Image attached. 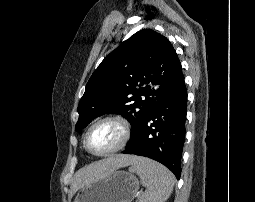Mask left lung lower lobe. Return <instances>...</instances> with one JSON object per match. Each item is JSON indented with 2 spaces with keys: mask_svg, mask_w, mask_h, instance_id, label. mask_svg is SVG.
<instances>
[{
  "mask_svg": "<svg viewBox=\"0 0 255 202\" xmlns=\"http://www.w3.org/2000/svg\"><path fill=\"white\" fill-rule=\"evenodd\" d=\"M187 90L183 82L162 96L146 116L140 130L122 153L145 156L181 176V155L185 138Z\"/></svg>",
  "mask_w": 255,
  "mask_h": 202,
  "instance_id": "0a47b994",
  "label": "left lung lower lobe"
}]
</instances>
